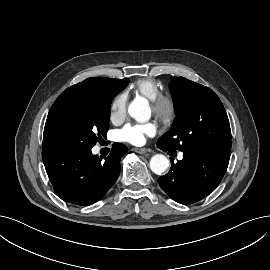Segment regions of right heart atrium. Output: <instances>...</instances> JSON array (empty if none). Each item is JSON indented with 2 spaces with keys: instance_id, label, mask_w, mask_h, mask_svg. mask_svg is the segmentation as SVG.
<instances>
[{
  "instance_id": "1",
  "label": "right heart atrium",
  "mask_w": 270,
  "mask_h": 270,
  "mask_svg": "<svg viewBox=\"0 0 270 270\" xmlns=\"http://www.w3.org/2000/svg\"><path fill=\"white\" fill-rule=\"evenodd\" d=\"M127 94L118 93L111 101L109 117L113 123H119L126 117Z\"/></svg>"
}]
</instances>
